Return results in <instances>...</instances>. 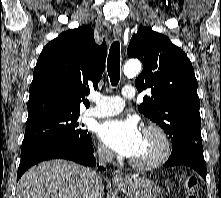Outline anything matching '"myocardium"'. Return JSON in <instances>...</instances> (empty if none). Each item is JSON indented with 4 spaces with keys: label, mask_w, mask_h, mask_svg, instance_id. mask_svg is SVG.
I'll use <instances>...</instances> for the list:
<instances>
[{
    "label": "myocardium",
    "mask_w": 221,
    "mask_h": 198,
    "mask_svg": "<svg viewBox=\"0 0 221 198\" xmlns=\"http://www.w3.org/2000/svg\"><path fill=\"white\" fill-rule=\"evenodd\" d=\"M143 133L151 134L159 141V150L157 154L149 160L138 161L129 159V164L139 170H150L163 164L169 157L171 152V143L166 133L155 125H147L143 128Z\"/></svg>",
    "instance_id": "f54148a6"
}]
</instances>
